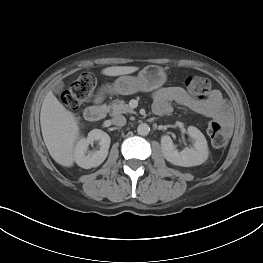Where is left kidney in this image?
Instances as JSON below:
<instances>
[{"label":"left kidney","instance_id":"left-kidney-1","mask_svg":"<svg viewBox=\"0 0 263 263\" xmlns=\"http://www.w3.org/2000/svg\"><path fill=\"white\" fill-rule=\"evenodd\" d=\"M188 134L194 140L193 147L178 151L169 135L161 137L162 153L167 161L174 165L191 167L204 163L208 157L205 136L194 126L188 127Z\"/></svg>","mask_w":263,"mask_h":263}]
</instances>
